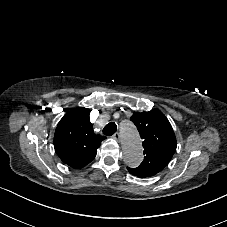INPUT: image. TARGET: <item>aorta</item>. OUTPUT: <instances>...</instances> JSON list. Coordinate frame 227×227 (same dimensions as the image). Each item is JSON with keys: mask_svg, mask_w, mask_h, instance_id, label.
Instances as JSON below:
<instances>
[{"mask_svg": "<svg viewBox=\"0 0 227 227\" xmlns=\"http://www.w3.org/2000/svg\"><path fill=\"white\" fill-rule=\"evenodd\" d=\"M124 161L129 167H137L143 160L140 135L132 123H125L120 129Z\"/></svg>", "mask_w": 227, "mask_h": 227, "instance_id": "762f6f07", "label": "aorta"}]
</instances>
